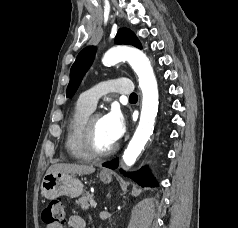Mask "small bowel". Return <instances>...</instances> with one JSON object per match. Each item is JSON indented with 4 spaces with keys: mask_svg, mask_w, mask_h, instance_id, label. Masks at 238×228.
Returning <instances> with one entry per match:
<instances>
[{
    "mask_svg": "<svg viewBox=\"0 0 238 228\" xmlns=\"http://www.w3.org/2000/svg\"><path fill=\"white\" fill-rule=\"evenodd\" d=\"M69 228H85V220L78 214L71 215L68 218ZM46 228H64L63 224L47 225Z\"/></svg>",
    "mask_w": 238,
    "mask_h": 228,
    "instance_id": "obj_1",
    "label": "small bowel"
}]
</instances>
